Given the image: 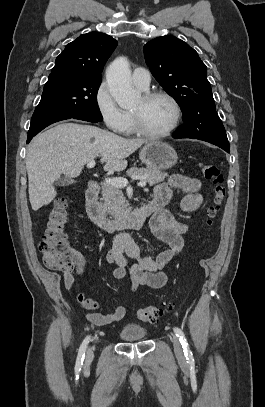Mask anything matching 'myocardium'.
Listing matches in <instances>:
<instances>
[{
  "label": "myocardium",
  "instance_id": "myocardium-1",
  "mask_svg": "<svg viewBox=\"0 0 265 407\" xmlns=\"http://www.w3.org/2000/svg\"><path fill=\"white\" fill-rule=\"evenodd\" d=\"M144 101H151L155 98H165L167 99L173 106L174 108V119L171 125L160 132H152L148 131L145 129L141 123L140 117L137 113L131 112V118H132V127L135 133L142 137L146 138H152V139H157V138H163L167 137L170 134H172L176 128L179 126V123L182 118V108L178 100L170 93L162 90H154V91H148L145 92L142 96Z\"/></svg>",
  "mask_w": 265,
  "mask_h": 407
}]
</instances>
